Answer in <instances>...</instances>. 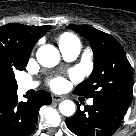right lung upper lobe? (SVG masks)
Segmentation results:
<instances>
[{"instance_id": "obj_1", "label": "right lung upper lobe", "mask_w": 136, "mask_h": 136, "mask_svg": "<svg viewBox=\"0 0 136 136\" xmlns=\"http://www.w3.org/2000/svg\"><path fill=\"white\" fill-rule=\"evenodd\" d=\"M51 26H26L11 23L0 27V66L27 65L30 53L36 41ZM1 98V97H0Z\"/></svg>"}]
</instances>
